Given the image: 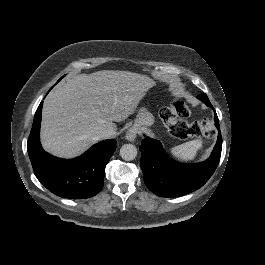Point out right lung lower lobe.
Returning a JSON list of instances; mask_svg holds the SVG:
<instances>
[{
    "mask_svg": "<svg viewBox=\"0 0 265 265\" xmlns=\"http://www.w3.org/2000/svg\"><path fill=\"white\" fill-rule=\"evenodd\" d=\"M42 102L34 116L28 138V154L34 173L53 194L70 199L96 195L104 185V171L116 149V140H105L74 159H60L43 150L39 139Z\"/></svg>",
    "mask_w": 265,
    "mask_h": 265,
    "instance_id": "1",
    "label": "right lung lower lobe"
}]
</instances>
